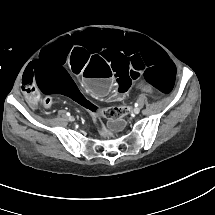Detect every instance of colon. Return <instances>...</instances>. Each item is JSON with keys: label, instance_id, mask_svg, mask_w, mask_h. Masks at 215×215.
Instances as JSON below:
<instances>
[{"label": "colon", "instance_id": "5ec220e1", "mask_svg": "<svg viewBox=\"0 0 215 215\" xmlns=\"http://www.w3.org/2000/svg\"><path fill=\"white\" fill-rule=\"evenodd\" d=\"M43 106L45 108H49L51 106L50 97H47L43 100ZM89 110L95 116H103L110 120L118 119L121 116L125 115L127 112V108L110 107L106 109H101L96 105H90Z\"/></svg>", "mask_w": 215, "mask_h": 215}]
</instances>
